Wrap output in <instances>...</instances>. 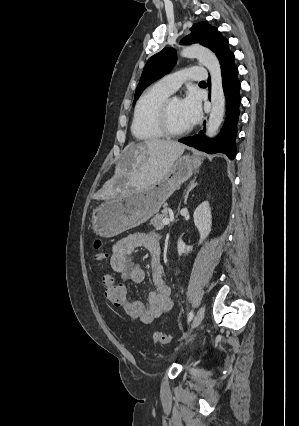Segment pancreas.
<instances>
[{"instance_id": "cf45deb5", "label": "pancreas", "mask_w": 299, "mask_h": 426, "mask_svg": "<svg viewBox=\"0 0 299 426\" xmlns=\"http://www.w3.org/2000/svg\"><path fill=\"white\" fill-rule=\"evenodd\" d=\"M167 215H168V208H167V205H164L161 213L156 214L151 220L152 225L155 227L156 230L163 229L164 227L163 219L166 218Z\"/></svg>"}]
</instances>
